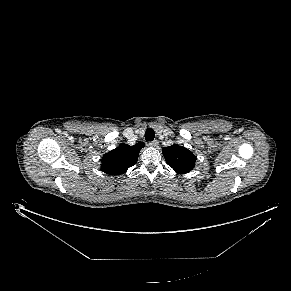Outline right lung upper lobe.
Segmentation results:
<instances>
[{
  "label": "right lung upper lobe",
  "mask_w": 291,
  "mask_h": 291,
  "mask_svg": "<svg viewBox=\"0 0 291 291\" xmlns=\"http://www.w3.org/2000/svg\"><path fill=\"white\" fill-rule=\"evenodd\" d=\"M144 143L138 142L134 146L120 144L116 149L106 153L101 159V170L109 175H121L128 168L135 165Z\"/></svg>",
  "instance_id": "1"
}]
</instances>
